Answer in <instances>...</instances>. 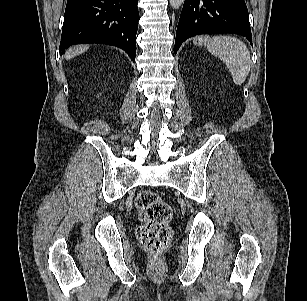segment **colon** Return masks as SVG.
Instances as JSON below:
<instances>
[{"label":"colon","mask_w":307,"mask_h":301,"mask_svg":"<svg viewBox=\"0 0 307 301\" xmlns=\"http://www.w3.org/2000/svg\"><path fill=\"white\" fill-rule=\"evenodd\" d=\"M135 204L141 221L136 230L137 238L148 252L158 254L167 247L172 237L169 226L172 208L152 190L141 191Z\"/></svg>","instance_id":"obj_1"}]
</instances>
